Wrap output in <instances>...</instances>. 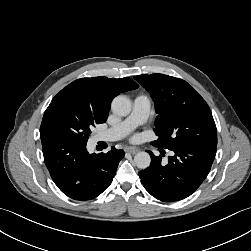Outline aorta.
<instances>
[{"mask_svg": "<svg viewBox=\"0 0 251 251\" xmlns=\"http://www.w3.org/2000/svg\"><path fill=\"white\" fill-rule=\"evenodd\" d=\"M111 109L118 116H127L131 112V102L125 96H117L111 103ZM151 163V157L147 152H138L134 156V164L140 169H146Z\"/></svg>", "mask_w": 251, "mask_h": 251, "instance_id": "762f6f07", "label": "aorta"}]
</instances>
